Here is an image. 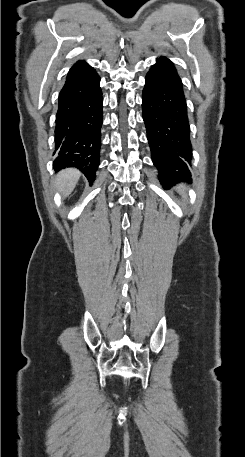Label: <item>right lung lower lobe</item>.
I'll return each mask as SVG.
<instances>
[{"label":"right lung lower lobe","mask_w":245,"mask_h":457,"mask_svg":"<svg viewBox=\"0 0 245 457\" xmlns=\"http://www.w3.org/2000/svg\"><path fill=\"white\" fill-rule=\"evenodd\" d=\"M95 70L68 75L59 94L53 167L78 168L95 180L101 147L103 98Z\"/></svg>","instance_id":"98d812e1"}]
</instances>
